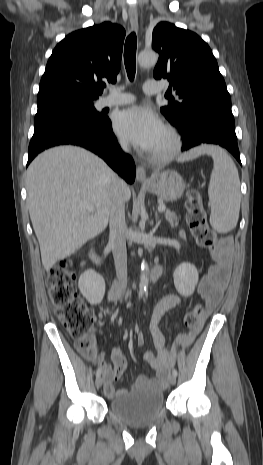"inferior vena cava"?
<instances>
[{
    "instance_id": "obj_1",
    "label": "inferior vena cava",
    "mask_w": 263,
    "mask_h": 465,
    "mask_svg": "<svg viewBox=\"0 0 263 465\" xmlns=\"http://www.w3.org/2000/svg\"><path fill=\"white\" fill-rule=\"evenodd\" d=\"M123 150H128V144L121 142ZM126 183L119 178L115 181L110 205L109 214V244L112 247L116 275L121 292L125 293L127 286V250H126V233L127 226L125 222V199L124 189Z\"/></svg>"
}]
</instances>
